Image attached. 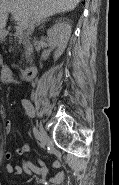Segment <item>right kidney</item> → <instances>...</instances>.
Wrapping results in <instances>:
<instances>
[{
	"label": "right kidney",
	"mask_w": 119,
	"mask_h": 185,
	"mask_svg": "<svg viewBox=\"0 0 119 185\" xmlns=\"http://www.w3.org/2000/svg\"><path fill=\"white\" fill-rule=\"evenodd\" d=\"M71 25L58 22L47 31L48 43L56 48L54 59L57 60L64 52L71 35Z\"/></svg>",
	"instance_id": "ca27d5eb"
}]
</instances>
